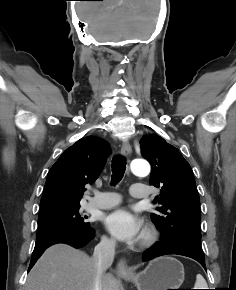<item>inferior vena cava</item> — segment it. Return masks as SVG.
Returning a JSON list of instances; mask_svg holds the SVG:
<instances>
[{"label": "inferior vena cava", "instance_id": "inferior-vena-cava-1", "mask_svg": "<svg viewBox=\"0 0 236 290\" xmlns=\"http://www.w3.org/2000/svg\"><path fill=\"white\" fill-rule=\"evenodd\" d=\"M115 246V239L103 237L94 249L92 262L97 268L94 290H101V278L113 263Z\"/></svg>", "mask_w": 236, "mask_h": 290}]
</instances>
